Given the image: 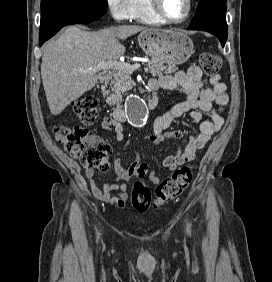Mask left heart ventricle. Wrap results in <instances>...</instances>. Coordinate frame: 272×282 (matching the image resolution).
Segmentation results:
<instances>
[{
	"instance_id": "obj_1",
	"label": "left heart ventricle",
	"mask_w": 272,
	"mask_h": 282,
	"mask_svg": "<svg viewBox=\"0 0 272 282\" xmlns=\"http://www.w3.org/2000/svg\"><path fill=\"white\" fill-rule=\"evenodd\" d=\"M166 14L174 19L182 18L187 11L186 0H160Z\"/></svg>"
}]
</instances>
